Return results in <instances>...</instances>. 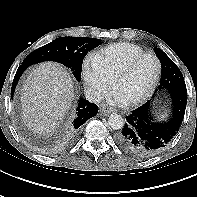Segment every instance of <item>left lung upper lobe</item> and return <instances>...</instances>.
Returning a JSON list of instances; mask_svg holds the SVG:
<instances>
[{
  "instance_id": "left-lung-upper-lobe-1",
  "label": "left lung upper lobe",
  "mask_w": 197,
  "mask_h": 197,
  "mask_svg": "<svg viewBox=\"0 0 197 197\" xmlns=\"http://www.w3.org/2000/svg\"><path fill=\"white\" fill-rule=\"evenodd\" d=\"M161 62L162 74L159 90L172 91L177 87H186L183 75L174 62L159 48L154 49Z\"/></svg>"
}]
</instances>
